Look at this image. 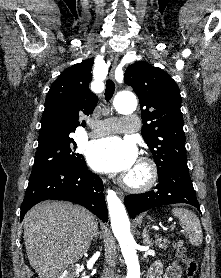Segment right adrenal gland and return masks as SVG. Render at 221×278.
Wrapping results in <instances>:
<instances>
[{"label": "right adrenal gland", "mask_w": 221, "mask_h": 278, "mask_svg": "<svg viewBox=\"0 0 221 278\" xmlns=\"http://www.w3.org/2000/svg\"><path fill=\"white\" fill-rule=\"evenodd\" d=\"M99 237V232H98V230H96V232H95V234H94V236H93V240L96 238H98Z\"/></svg>", "instance_id": "right-adrenal-gland-1"}]
</instances>
